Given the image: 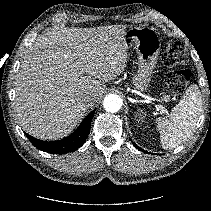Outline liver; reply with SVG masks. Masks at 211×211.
<instances>
[{
  "label": "liver",
  "instance_id": "liver-1",
  "mask_svg": "<svg viewBox=\"0 0 211 211\" xmlns=\"http://www.w3.org/2000/svg\"><path fill=\"white\" fill-rule=\"evenodd\" d=\"M126 26L53 28L21 60L15 112L22 129L43 140L69 135L89 106L126 68ZM93 95L92 104L83 102Z\"/></svg>",
  "mask_w": 211,
  "mask_h": 211
}]
</instances>
